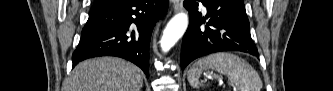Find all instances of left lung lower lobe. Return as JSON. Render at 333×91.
Instances as JSON below:
<instances>
[{
    "instance_id": "1",
    "label": "left lung lower lobe",
    "mask_w": 333,
    "mask_h": 91,
    "mask_svg": "<svg viewBox=\"0 0 333 91\" xmlns=\"http://www.w3.org/2000/svg\"><path fill=\"white\" fill-rule=\"evenodd\" d=\"M199 2L207 9L205 17L198 12ZM184 5L190 23L182 41V69L196 58L220 51H241L259 57L243 0H185Z\"/></svg>"
}]
</instances>
